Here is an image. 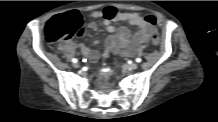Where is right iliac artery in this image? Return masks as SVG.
Wrapping results in <instances>:
<instances>
[{"mask_svg": "<svg viewBox=\"0 0 218 122\" xmlns=\"http://www.w3.org/2000/svg\"><path fill=\"white\" fill-rule=\"evenodd\" d=\"M72 62H73V63H77L78 60H77L76 58H73V59H72Z\"/></svg>", "mask_w": 218, "mask_h": 122, "instance_id": "obj_1", "label": "right iliac artery"}]
</instances>
